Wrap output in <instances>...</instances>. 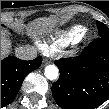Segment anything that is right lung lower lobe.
Masks as SVG:
<instances>
[{"label":"right lung lower lobe","mask_w":109,"mask_h":109,"mask_svg":"<svg viewBox=\"0 0 109 109\" xmlns=\"http://www.w3.org/2000/svg\"><path fill=\"white\" fill-rule=\"evenodd\" d=\"M42 57L24 61L9 56L1 61V108L10 104L28 73L40 67Z\"/></svg>","instance_id":"right-lung-lower-lobe-1"}]
</instances>
